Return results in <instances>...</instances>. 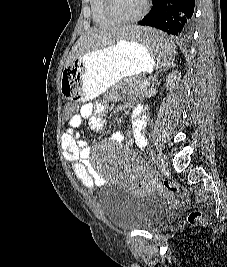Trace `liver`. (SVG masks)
<instances>
[{
    "instance_id": "liver-1",
    "label": "liver",
    "mask_w": 227,
    "mask_h": 267,
    "mask_svg": "<svg viewBox=\"0 0 227 267\" xmlns=\"http://www.w3.org/2000/svg\"><path fill=\"white\" fill-rule=\"evenodd\" d=\"M126 33H130V30H120V26L91 28L72 47L66 65L70 64L77 57L106 48L115 42L125 39Z\"/></svg>"
}]
</instances>
